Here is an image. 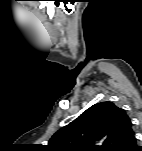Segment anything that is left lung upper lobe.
<instances>
[{"mask_svg": "<svg viewBox=\"0 0 142 151\" xmlns=\"http://www.w3.org/2000/svg\"><path fill=\"white\" fill-rule=\"evenodd\" d=\"M133 134L125 110L100 102L58 130L48 145L54 151H121Z\"/></svg>", "mask_w": 142, "mask_h": 151, "instance_id": "left-lung-upper-lobe-1", "label": "left lung upper lobe"}]
</instances>
